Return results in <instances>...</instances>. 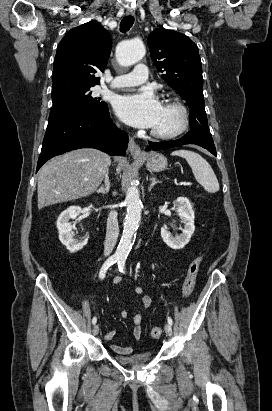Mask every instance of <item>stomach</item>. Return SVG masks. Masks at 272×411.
Instances as JSON below:
<instances>
[{
    "instance_id": "stomach-1",
    "label": "stomach",
    "mask_w": 272,
    "mask_h": 411,
    "mask_svg": "<svg viewBox=\"0 0 272 411\" xmlns=\"http://www.w3.org/2000/svg\"><path fill=\"white\" fill-rule=\"evenodd\" d=\"M144 161L146 162V167L154 172H160L167 168V159L163 154L152 152L148 154Z\"/></svg>"
}]
</instances>
